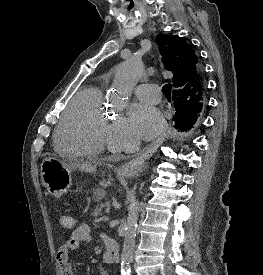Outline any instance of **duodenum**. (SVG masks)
<instances>
[{
    "label": "duodenum",
    "mask_w": 263,
    "mask_h": 275,
    "mask_svg": "<svg viewBox=\"0 0 263 275\" xmlns=\"http://www.w3.org/2000/svg\"><path fill=\"white\" fill-rule=\"evenodd\" d=\"M104 261L106 263H117L119 261V245L111 237H105Z\"/></svg>",
    "instance_id": "1"
}]
</instances>
